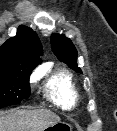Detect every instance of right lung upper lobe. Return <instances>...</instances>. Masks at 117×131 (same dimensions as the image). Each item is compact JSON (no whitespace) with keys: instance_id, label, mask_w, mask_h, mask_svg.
<instances>
[{"instance_id":"obj_1","label":"right lung upper lobe","mask_w":117,"mask_h":131,"mask_svg":"<svg viewBox=\"0 0 117 131\" xmlns=\"http://www.w3.org/2000/svg\"><path fill=\"white\" fill-rule=\"evenodd\" d=\"M42 45L31 28L18 27L15 37L8 39L0 48V68L22 66L29 73L42 62Z\"/></svg>"}]
</instances>
